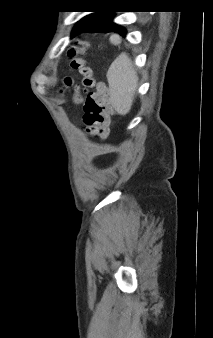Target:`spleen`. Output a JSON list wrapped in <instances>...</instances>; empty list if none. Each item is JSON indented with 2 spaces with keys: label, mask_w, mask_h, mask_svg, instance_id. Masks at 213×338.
<instances>
[{
  "label": "spleen",
  "mask_w": 213,
  "mask_h": 338,
  "mask_svg": "<svg viewBox=\"0 0 213 338\" xmlns=\"http://www.w3.org/2000/svg\"><path fill=\"white\" fill-rule=\"evenodd\" d=\"M107 80L113 108L121 115L129 113L138 85V76L126 53H121L112 62L107 72Z\"/></svg>",
  "instance_id": "spleen-1"
}]
</instances>
